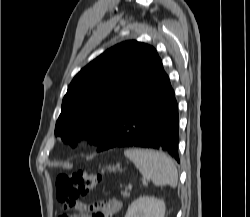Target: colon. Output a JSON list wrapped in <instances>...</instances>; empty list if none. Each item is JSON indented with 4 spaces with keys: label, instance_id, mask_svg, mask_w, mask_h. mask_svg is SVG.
Instances as JSON below:
<instances>
[{
    "label": "colon",
    "instance_id": "5ec220e1",
    "mask_svg": "<svg viewBox=\"0 0 250 217\" xmlns=\"http://www.w3.org/2000/svg\"><path fill=\"white\" fill-rule=\"evenodd\" d=\"M100 181L101 176L99 174L85 170L62 173L56 179L57 197L68 208L80 205L85 212L91 213L90 217H103L102 205L100 203L86 205L81 201V198L87 192L93 190ZM61 217L70 216L62 215Z\"/></svg>",
    "mask_w": 250,
    "mask_h": 217
}]
</instances>
